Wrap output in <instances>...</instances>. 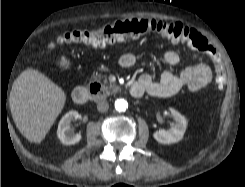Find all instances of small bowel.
I'll use <instances>...</instances> for the list:
<instances>
[{
  "instance_id": "1",
  "label": "small bowel",
  "mask_w": 245,
  "mask_h": 187,
  "mask_svg": "<svg viewBox=\"0 0 245 187\" xmlns=\"http://www.w3.org/2000/svg\"><path fill=\"white\" fill-rule=\"evenodd\" d=\"M164 61L167 66L173 67L180 62V56L176 51L169 50L164 54ZM136 62L132 53H124L119 59L123 68H131ZM212 80V72L208 65L197 64L187 66L179 74H174L170 69H165L159 80H153L150 75H142L138 83L143 92L155 97H168L176 94L182 88L196 92L207 86Z\"/></svg>"
}]
</instances>
